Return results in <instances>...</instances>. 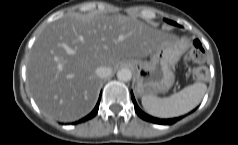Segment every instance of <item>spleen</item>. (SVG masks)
Segmentation results:
<instances>
[{"instance_id": "spleen-1", "label": "spleen", "mask_w": 238, "mask_h": 145, "mask_svg": "<svg viewBox=\"0 0 238 145\" xmlns=\"http://www.w3.org/2000/svg\"><path fill=\"white\" fill-rule=\"evenodd\" d=\"M207 86L196 82L167 98L143 96L142 105L147 113L159 118L183 115L195 108L203 99Z\"/></svg>"}]
</instances>
